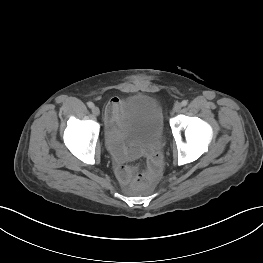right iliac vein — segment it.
<instances>
[{"mask_svg":"<svg viewBox=\"0 0 263 263\" xmlns=\"http://www.w3.org/2000/svg\"><path fill=\"white\" fill-rule=\"evenodd\" d=\"M92 113H93L95 116H99V114H100L99 108H98L97 106H94V107L92 108Z\"/></svg>","mask_w":263,"mask_h":263,"instance_id":"obj_1","label":"right iliac vein"}]
</instances>
